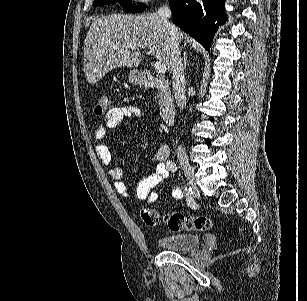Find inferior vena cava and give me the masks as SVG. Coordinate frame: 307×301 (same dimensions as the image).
<instances>
[{
    "mask_svg": "<svg viewBox=\"0 0 307 301\" xmlns=\"http://www.w3.org/2000/svg\"><path fill=\"white\" fill-rule=\"evenodd\" d=\"M157 16H160L161 20H163L165 26H167L169 30V34L172 38L173 42V50L170 56L171 66H172V84H173V92L175 96V100L183 110L186 106V92H185V74H184V66L181 58V50L178 44V28L169 22L168 18H170L172 12L167 6V4H163V6H159L157 12ZM176 153L178 157H185L186 151L183 144H179L176 148Z\"/></svg>",
    "mask_w": 307,
    "mask_h": 301,
    "instance_id": "inferior-vena-cava-1",
    "label": "inferior vena cava"
}]
</instances>
